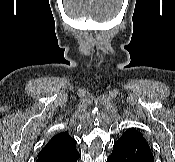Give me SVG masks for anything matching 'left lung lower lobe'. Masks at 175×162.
Segmentation results:
<instances>
[{"instance_id":"left-lung-lower-lobe-1","label":"left lung lower lobe","mask_w":175,"mask_h":162,"mask_svg":"<svg viewBox=\"0 0 175 162\" xmlns=\"http://www.w3.org/2000/svg\"><path fill=\"white\" fill-rule=\"evenodd\" d=\"M107 162H154L146 140L132 132H125L113 145Z\"/></svg>"}]
</instances>
